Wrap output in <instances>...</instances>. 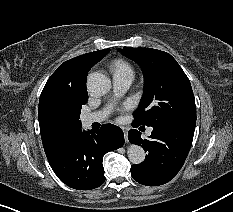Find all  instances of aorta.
<instances>
[{
    "instance_id": "762f6f07",
    "label": "aorta",
    "mask_w": 233,
    "mask_h": 212,
    "mask_svg": "<svg viewBox=\"0 0 233 212\" xmlns=\"http://www.w3.org/2000/svg\"><path fill=\"white\" fill-rule=\"evenodd\" d=\"M87 87L92 93L106 94L111 88V81L105 74L94 72L88 75ZM127 155L132 164H140L144 161L146 154L141 146L130 145Z\"/></svg>"
}]
</instances>
